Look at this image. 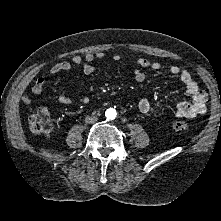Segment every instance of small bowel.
<instances>
[{
	"instance_id": "small-bowel-1",
	"label": "small bowel",
	"mask_w": 221,
	"mask_h": 221,
	"mask_svg": "<svg viewBox=\"0 0 221 221\" xmlns=\"http://www.w3.org/2000/svg\"><path fill=\"white\" fill-rule=\"evenodd\" d=\"M105 54L103 52L88 53L84 57L73 56L70 61H61L54 64L50 68V74L56 75L61 72H69L74 67H81L85 74H91L94 72L95 67L93 65L94 60H103ZM113 60L119 62L122 60L120 54H115ZM138 68L134 70V78L138 82L145 80L144 69L159 70L162 68L160 63L153 62L148 58L141 57L137 59ZM169 73L172 77L177 78L181 83L184 84L188 94L190 95V102H179L176 105L175 116L177 118H194L206 111L207 94L202 90L198 83L194 80L192 74L184 68L176 65H171L168 68ZM45 87L44 78L40 77L36 79L31 85V91L33 94H40ZM58 101L64 105L72 104V99L63 92L58 93ZM22 101L25 104H31L32 98L28 94L22 96ZM81 102H86L83 98ZM138 108L142 113H149L152 111V105L147 99H141L138 103Z\"/></svg>"
}]
</instances>
